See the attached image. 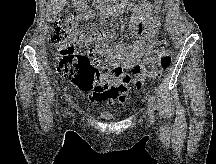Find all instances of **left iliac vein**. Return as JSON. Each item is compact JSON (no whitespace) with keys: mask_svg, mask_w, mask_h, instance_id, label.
<instances>
[{"mask_svg":"<svg viewBox=\"0 0 216 164\" xmlns=\"http://www.w3.org/2000/svg\"><path fill=\"white\" fill-rule=\"evenodd\" d=\"M149 113V112H148ZM148 120L150 121V122H152V118L150 117V115H148Z\"/></svg>","mask_w":216,"mask_h":164,"instance_id":"4c4485c4","label":"left iliac vein"}]
</instances>
